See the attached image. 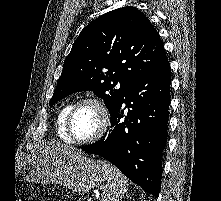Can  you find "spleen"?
I'll return each mask as SVG.
<instances>
[{
  "label": "spleen",
  "mask_w": 221,
  "mask_h": 201,
  "mask_svg": "<svg viewBox=\"0 0 221 201\" xmlns=\"http://www.w3.org/2000/svg\"><path fill=\"white\" fill-rule=\"evenodd\" d=\"M103 176L107 181L101 195L102 201H119L128 188L126 177L111 163L105 160H98Z\"/></svg>",
  "instance_id": "obj_1"
}]
</instances>
